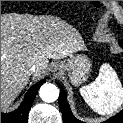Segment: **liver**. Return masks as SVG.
I'll return each instance as SVG.
<instances>
[{"instance_id": "6515ba94", "label": "liver", "mask_w": 123, "mask_h": 123, "mask_svg": "<svg viewBox=\"0 0 123 123\" xmlns=\"http://www.w3.org/2000/svg\"><path fill=\"white\" fill-rule=\"evenodd\" d=\"M79 32L54 18L1 15V109L8 107L29 82V69L40 76L48 59L71 57L84 50Z\"/></svg>"}]
</instances>
